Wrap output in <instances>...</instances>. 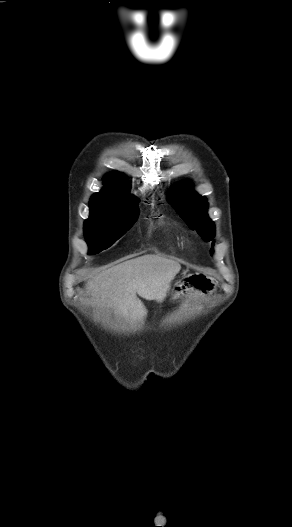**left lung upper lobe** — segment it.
<instances>
[{
	"mask_svg": "<svg viewBox=\"0 0 292 527\" xmlns=\"http://www.w3.org/2000/svg\"><path fill=\"white\" fill-rule=\"evenodd\" d=\"M189 184L190 182H184L172 190L168 201L190 228L197 230L200 236L209 242L215 236V227L207 215V200L193 192Z\"/></svg>",
	"mask_w": 292,
	"mask_h": 527,
	"instance_id": "obj_1",
	"label": "left lung upper lobe"
}]
</instances>
